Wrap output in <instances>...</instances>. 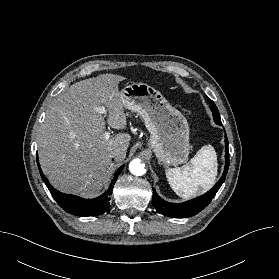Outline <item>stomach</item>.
I'll return each instance as SVG.
<instances>
[{
	"instance_id": "obj_1",
	"label": "stomach",
	"mask_w": 279,
	"mask_h": 279,
	"mask_svg": "<svg viewBox=\"0 0 279 279\" xmlns=\"http://www.w3.org/2000/svg\"><path fill=\"white\" fill-rule=\"evenodd\" d=\"M124 107L138 113L150 132L149 147L164 166L188 159L189 125L183 114L152 86L133 83L121 90Z\"/></svg>"
}]
</instances>
